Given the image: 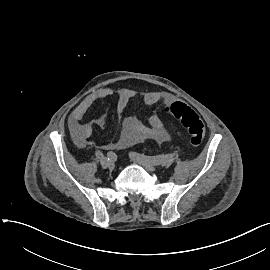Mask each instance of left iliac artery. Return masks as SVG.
I'll return each instance as SVG.
<instances>
[{
    "label": "left iliac artery",
    "mask_w": 270,
    "mask_h": 270,
    "mask_svg": "<svg viewBox=\"0 0 270 270\" xmlns=\"http://www.w3.org/2000/svg\"><path fill=\"white\" fill-rule=\"evenodd\" d=\"M135 156L137 157H140V158H145L146 160L150 161L151 163H153L154 165H160L162 164L166 157L163 156V155H158V156H152V157H149V156H144V155H141V154H138V153H133Z\"/></svg>",
    "instance_id": "left-iliac-artery-1"
}]
</instances>
